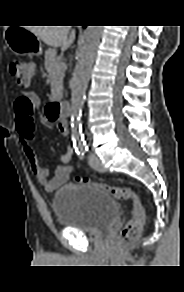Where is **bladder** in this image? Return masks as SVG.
Here are the masks:
<instances>
[{
  "label": "bladder",
  "mask_w": 184,
  "mask_h": 292,
  "mask_svg": "<svg viewBox=\"0 0 184 292\" xmlns=\"http://www.w3.org/2000/svg\"><path fill=\"white\" fill-rule=\"evenodd\" d=\"M53 211L62 227L100 233L118 217L112 195L95 185L65 184L54 195Z\"/></svg>",
  "instance_id": "obj_1"
}]
</instances>
